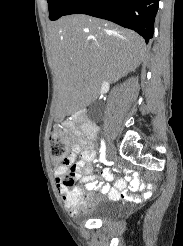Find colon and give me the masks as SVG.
Segmentation results:
<instances>
[{"label":"colon","instance_id":"5ec220e1","mask_svg":"<svg viewBox=\"0 0 183 246\" xmlns=\"http://www.w3.org/2000/svg\"><path fill=\"white\" fill-rule=\"evenodd\" d=\"M49 151L50 157L53 164L58 166H67L68 162V147L66 140L61 133L60 130H54L49 138ZM73 173V172H69ZM75 181V178H65V183L72 185ZM71 206L76 209H80L84 206V202L80 198H76L72 203Z\"/></svg>","mask_w":183,"mask_h":246}]
</instances>
